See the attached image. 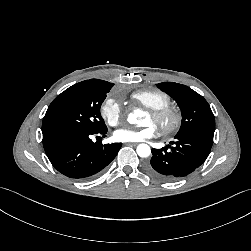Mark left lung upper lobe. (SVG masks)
<instances>
[{
    "label": "left lung upper lobe",
    "instance_id": "1",
    "mask_svg": "<svg viewBox=\"0 0 251 251\" xmlns=\"http://www.w3.org/2000/svg\"><path fill=\"white\" fill-rule=\"evenodd\" d=\"M157 87L176 99L182 111V124L176 136L191 132L214 134L215 118L207 101L188 86L174 82Z\"/></svg>",
    "mask_w": 251,
    "mask_h": 251
}]
</instances>
